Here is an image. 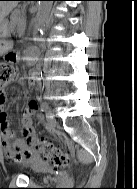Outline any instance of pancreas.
Segmentation results:
<instances>
[{"mask_svg": "<svg viewBox=\"0 0 137 189\" xmlns=\"http://www.w3.org/2000/svg\"><path fill=\"white\" fill-rule=\"evenodd\" d=\"M11 23L13 27L19 23H24L23 11L20 9H15L11 14Z\"/></svg>", "mask_w": 137, "mask_h": 189, "instance_id": "cf45deb5", "label": "pancreas"}]
</instances>
